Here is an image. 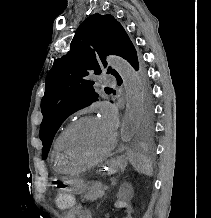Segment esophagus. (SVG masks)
<instances>
[{"mask_svg": "<svg viewBox=\"0 0 211 218\" xmlns=\"http://www.w3.org/2000/svg\"><path fill=\"white\" fill-rule=\"evenodd\" d=\"M109 164H105V167L102 168L103 172H108L109 171Z\"/></svg>", "mask_w": 211, "mask_h": 218, "instance_id": "esophagus-1", "label": "esophagus"}]
</instances>
